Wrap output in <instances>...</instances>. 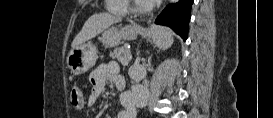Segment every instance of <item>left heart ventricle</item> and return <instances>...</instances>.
I'll return each instance as SVG.
<instances>
[{"mask_svg": "<svg viewBox=\"0 0 273 118\" xmlns=\"http://www.w3.org/2000/svg\"><path fill=\"white\" fill-rule=\"evenodd\" d=\"M138 6H144L146 5L145 1H137Z\"/></svg>", "mask_w": 273, "mask_h": 118, "instance_id": "b2bd125f", "label": "left heart ventricle"}]
</instances>
